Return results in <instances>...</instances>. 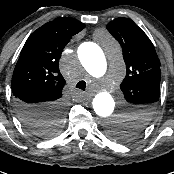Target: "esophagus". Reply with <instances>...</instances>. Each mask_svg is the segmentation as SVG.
Masks as SVG:
<instances>
[{"label":"esophagus","instance_id":"obj_1","mask_svg":"<svg viewBox=\"0 0 174 174\" xmlns=\"http://www.w3.org/2000/svg\"><path fill=\"white\" fill-rule=\"evenodd\" d=\"M91 98V95H87L86 100H89Z\"/></svg>","mask_w":174,"mask_h":174}]
</instances>
